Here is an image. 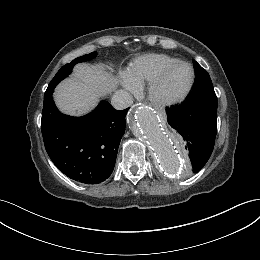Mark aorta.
Listing matches in <instances>:
<instances>
[{
	"label": "aorta",
	"instance_id": "aorta-1",
	"mask_svg": "<svg viewBox=\"0 0 260 260\" xmlns=\"http://www.w3.org/2000/svg\"><path fill=\"white\" fill-rule=\"evenodd\" d=\"M129 123L134 135L148 147L165 173L172 175L186 168L181 141L167 132L150 108L138 107L129 116Z\"/></svg>",
	"mask_w": 260,
	"mask_h": 260
}]
</instances>
